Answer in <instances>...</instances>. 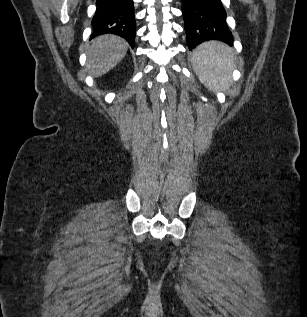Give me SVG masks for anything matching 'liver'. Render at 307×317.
Returning <instances> with one entry per match:
<instances>
[{"label": "liver", "instance_id": "obj_1", "mask_svg": "<svg viewBox=\"0 0 307 317\" xmlns=\"http://www.w3.org/2000/svg\"><path fill=\"white\" fill-rule=\"evenodd\" d=\"M127 49L128 43L116 35L96 37L87 50L88 72L95 78L108 73L125 57Z\"/></svg>", "mask_w": 307, "mask_h": 317}]
</instances>
